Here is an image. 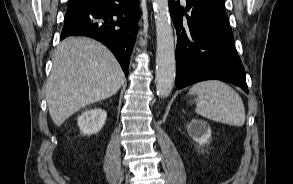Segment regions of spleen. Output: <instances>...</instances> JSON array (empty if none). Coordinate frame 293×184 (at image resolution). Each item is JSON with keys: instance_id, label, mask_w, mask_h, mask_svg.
Segmentation results:
<instances>
[{"instance_id": "obj_1", "label": "spleen", "mask_w": 293, "mask_h": 184, "mask_svg": "<svg viewBox=\"0 0 293 184\" xmlns=\"http://www.w3.org/2000/svg\"><path fill=\"white\" fill-rule=\"evenodd\" d=\"M188 95L195 98L196 113L213 121L241 127L245 123V108L240 95L219 80L194 84Z\"/></svg>"}]
</instances>
